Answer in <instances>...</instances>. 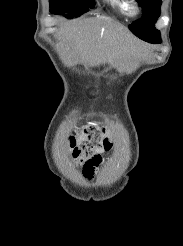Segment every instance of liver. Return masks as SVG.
Segmentation results:
<instances>
[{"mask_svg":"<svg viewBox=\"0 0 183 246\" xmlns=\"http://www.w3.org/2000/svg\"><path fill=\"white\" fill-rule=\"evenodd\" d=\"M62 34L77 59L89 66L119 62L140 46L121 26L98 17L66 26Z\"/></svg>","mask_w":183,"mask_h":246,"instance_id":"6515ba94","label":"liver"}]
</instances>
